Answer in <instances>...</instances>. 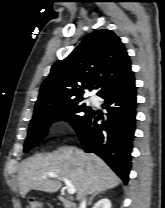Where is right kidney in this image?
Masks as SVG:
<instances>
[{
  "mask_svg": "<svg viewBox=\"0 0 165 208\" xmlns=\"http://www.w3.org/2000/svg\"><path fill=\"white\" fill-rule=\"evenodd\" d=\"M93 208H111V202L109 199L104 198L99 200L94 206Z\"/></svg>",
  "mask_w": 165,
  "mask_h": 208,
  "instance_id": "right-kidney-1",
  "label": "right kidney"
}]
</instances>
